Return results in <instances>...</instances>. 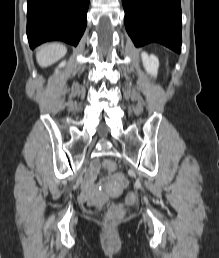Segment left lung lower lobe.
I'll return each mask as SVG.
<instances>
[{"instance_id":"obj_1","label":"left lung lower lobe","mask_w":219,"mask_h":258,"mask_svg":"<svg viewBox=\"0 0 219 258\" xmlns=\"http://www.w3.org/2000/svg\"><path fill=\"white\" fill-rule=\"evenodd\" d=\"M125 27L136 47L160 43L181 52L180 0H122Z\"/></svg>"}]
</instances>
